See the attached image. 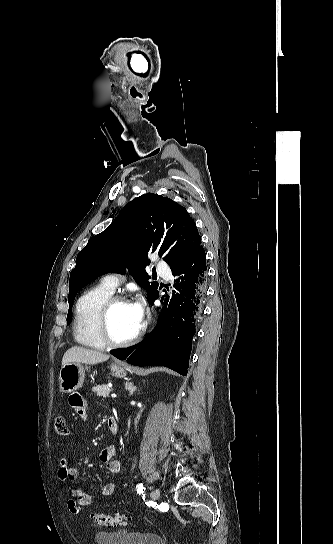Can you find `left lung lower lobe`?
Here are the masks:
<instances>
[{"label":"left lung lower lobe","instance_id":"left-lung-lower-lobe-1","mask_svg":"<svg viewBox=\"0 0 333 544\" xmlns=\"http://www.w3.org/2000/svg\"><path fill=\"white\" fill-rule=\"evenodd\" d=\"M206 270V254L200 245L184 264L172 269L176 277L175 290L172 297L162 298L165 306L152 333L139 344L114 349L111 354L130 364L166 366L186 375L195 322L202 311ZM158 297L159 293L150 300V304L153 305Z\"/></svg>","mask_w":333,"mask_h":544}]
</instances>
